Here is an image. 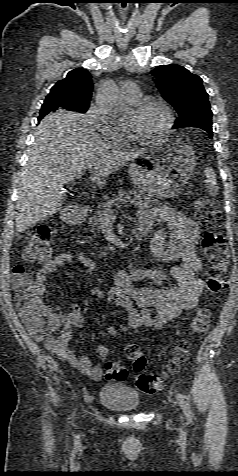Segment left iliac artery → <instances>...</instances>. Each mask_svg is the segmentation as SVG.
I'll list each match as a JSON object with an SVG mask.
<instances>
[{
  "label": "left iliac artery",
  "mask_w": 238,
  "mask_h": 476,
  "mask_svg": "<svg viewBox=\"0 0 238 476\" xmlns=\"http://www.w3.org/2000/svg\"><path fill=\"white\" fill-rule=\"evenodd\" d=\"M177 399H178V402H179L185 416L187 417L188 421L191 422L192 413H191V409H190L189 404L184 400V398L182 397L181 394H177Z\"/></svg>",
  "instance_id": "44dca946"
}]
</instances>
